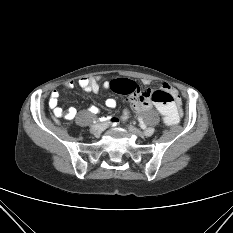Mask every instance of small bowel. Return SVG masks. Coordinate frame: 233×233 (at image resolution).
<instances>
[{
  "mask_svg": "<svg viewBox=\"0 0 233 233\" xmlns=\"http://www.w3.org/2000/svg\"><path fill=\"white\" fill-rule=\"evenodd\" d=\"M78 85L85 92H93V93H97L101 85L105 89H109L111 87V83L109 81H104L101 84L99 81V78L97 77H83L79 79ZM73 86H74V82L69 80V81L64 82L60 86V88L72 89ZM162 89L168 91L172 95L174 99V103L178 109L180 105V101H181L178 91L174 87L169 85L168 83L163 84ZM58 97H59V89L55 88L52 90L50 94V98H49V106L52 109L54 116L63 117L66 120L74 119L77 115V109L75 107H69L63 110L62 108L58 106ZM129 102H130L131 108L136 112H141L151 107V103L149 101L140 102V101H137L131 98ZM105 105L110 109H114L117 105V102L114 98H108L105 101ZM88 111L92 114H99L100 109L95 105H90L88 107ZM106 121H107L106 123L112 124V125L117 123V119L112 118V117L106 118Z\"/></svg>",
  "mask_w": 233,
  "mask_h": 233,
  "instance_id": "obj_1",
  "label": "small bowel"
}]
</instances>
